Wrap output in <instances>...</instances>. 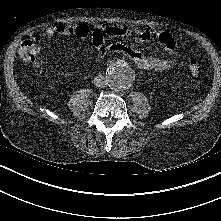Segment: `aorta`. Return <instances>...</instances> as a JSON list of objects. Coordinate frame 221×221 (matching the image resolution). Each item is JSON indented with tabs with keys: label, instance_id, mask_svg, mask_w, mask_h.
Masks as SVG:
<instances>
[{
	"label": "aorta",
	"instance_id": "1",
	"mask_svg": "<svg viewBox=\"0 0 221 221\" xmlns=\"http://www.w3.org/2000/svg\"><path fill=\"white\" fill-rule=\"evenodd\" d=\"M106 78L111 89L120 91L132 85L134 74L125 61L119 60L107 67Z\"/></svg>",
	"mask_w": 221,
	"mask_h": 221
}]
</instances>
